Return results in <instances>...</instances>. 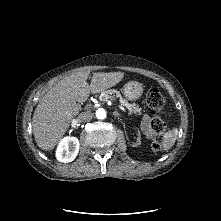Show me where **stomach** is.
<instances>
[{
    "instance_id": "obj_1",
    "label": "stomach",
    "mask_w": 221,
    "mask_h": 221,
    "mask_svg": "<svg viewBox=\"0 0 221 221\" xmlns=\"http://www.w3.org/2000/svg\"><path fill=\"white\" fill-rule=\"evenodd\" d=\"M143 85L137 81H129L123 87L124 96L131 101L137 100L142 96Z\"/></svg>"
}]
</instances>
